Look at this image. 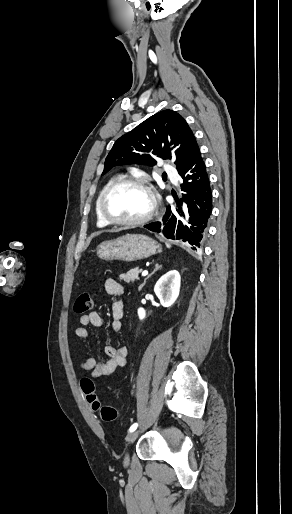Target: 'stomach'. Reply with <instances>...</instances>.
Here are the masks:
<instances>
[{
    "label": "stomach",
    "mask_w": 292,
    "mask_h": 514,
    "mask_svg": "<svg viewBox=\"0 0 292 514\" xmlns=\"http://www.w3.org/2000/svg\"><path fill=\"white\" fill-rule=\"evenodd\" d=\"M161 246L143 234H126L116 240L102 242L97 248V256L101 260H122V262H136L150 258L160 252Z\"/></svg>",
    "instance_id": "1"
}]
</instances>
